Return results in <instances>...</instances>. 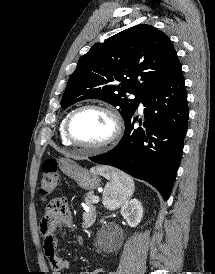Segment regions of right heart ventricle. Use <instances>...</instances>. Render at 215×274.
Segmentation results:
<instances>
[{
	"mask_svg": "<svg viewBox=\"0 0 215 274\" xmlns=\"http://www.w3.org/2000/svg\"><path fill=\"white\" fill-rule=\"evenodd\" d=\"M67 116L61 122V125H60V136H61V140H62L63 144H65V145H71V143L67 140V138L65 136V132H64V125H65V121H66Z\"/></svg>",
	"mask_w": 215,
	"mask_h": 274,
	"instance_id": "1",
	"label": "right heart ventricle"
}]
</instances>
